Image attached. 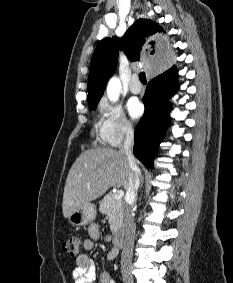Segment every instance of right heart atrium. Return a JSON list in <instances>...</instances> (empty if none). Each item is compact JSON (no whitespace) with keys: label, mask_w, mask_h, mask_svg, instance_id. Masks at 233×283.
<instances>
[{"label":"right heart atrium","mask_w":233,"mask_h":283,"mask_svg":"<svg viewBox=\"0 0 233 283\" xmlns=\"http://www.w3.org/2000/svg\"><path fill=\"white\" fill-rule=\"evenodd\" d=\"M99 111L103 117L104 140L111 146H119L134 135V126L121 106L102 99Z\"/></svg>","instance_id":"obj_1"}]
</instances>
